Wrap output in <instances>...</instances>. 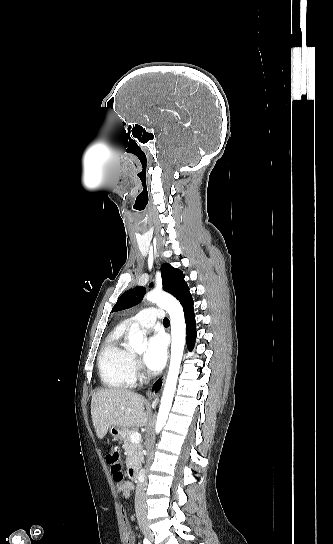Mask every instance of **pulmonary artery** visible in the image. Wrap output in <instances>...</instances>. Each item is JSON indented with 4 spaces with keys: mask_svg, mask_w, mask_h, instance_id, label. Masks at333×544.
<instances>
[{
    "mask_svg": "<svg viewBox=\"0 0 333 544\" xmlns=\"http://www.w3.org/2000/svg\"><path fill=\"white\" fill-rule=\"evenodd\" d=\"M158 319H164V311L160 308L150 307L141 310L135 316L125 320L124 324L140 328H152Z\"/></svg>",
    "mask_w": 333,
    "mask_h": 544,
    "instance_id": "pulmonary-artery-1",
    "label": "pulmonary artery"
}]
</instances>
